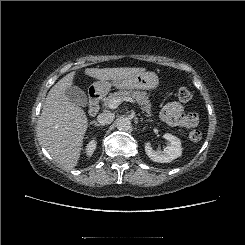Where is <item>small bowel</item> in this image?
I'll return each instance as SVG.
<instances>
[{
  "label": "small bowel",
  "instance_id": "c3829d8e",
  "mask_svg": "<svg viewBox=\"0 0 245 245\" xmlns=\"http://www.w3.org/2000/svg\"><path fill=\"white\" fill-rule=\"evenodd\" d=\"M162 119L173 126L182 128H193L199 123V116L195 112L185 113L181 103L168 101L161 111Z\"/></svg>",
  "mask_w": 245,
  "mask_h": 245
}]
</instances>
